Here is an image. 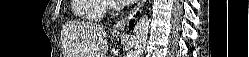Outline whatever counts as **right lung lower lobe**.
I'll list each match as a JSON object with an SVG mask.
<instances>
[{"label": "right lung lower lobe", "instance_id": "98d812e1", "mask_svg": "<svg viewBox=\"0 0 249 57\" xmlns=\"http://www.w3.org/2000/svg\"><path fill=\"white\" fill-rule=\"evenodd\" d=\"M133 25H134V21H130V24H129V29L131 30L133 28Z\"/></svg>", "mask_w": 249, "mask_h": 57}]
</instances>
